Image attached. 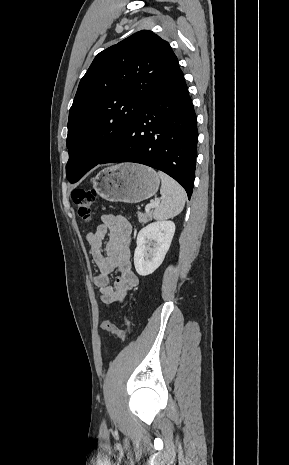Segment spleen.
<instances>
[{
	"label": "spleen",
	"instance_id": "spleen-1",
	"mask_svg": "<svg viewBox=\"0 0 289 465\" xmlns=\"http://www.w3.org/2000/svg\"><path fill=\"white\" fill-rule=\"evenodd\" d=\"M158 176L162 182L160 189L162 200L156 206L153 212V218L156 220L173 218L184 208L186 200L185 190L179 183L165 173L159 171Z\"/></svg>",
	"mask_w": 289,
	"mask_h": 465
}]
</instances>
